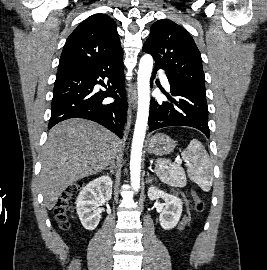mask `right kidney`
I'll return each mask as SVG.
<instances>
[{
  "mask_svg": "<svg viewBox=\"0 0 267 270\" xmlns=\"http://www.w3.org/2000/svg\"><path fill=\"white\" fill-rule=\"evenodd\" d=\"M112 197V180L108 176H101L90 181L79 193L76 209L83 227L94 230L101 219L99 206Z\"/></svg>",
  "mask_w": 267,
  "mask_h": 270,
  "instance_id": "ca27d5eb",
  "label": "right kidney"
}]
</instances>
